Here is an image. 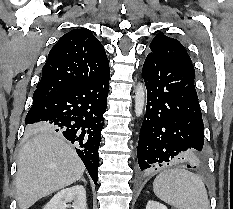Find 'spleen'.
Here are the masks:
<instances>
[{
    "label": "spleen",
    "mask_w": 233,
    "mask_h": 209,
    "mask_svg": "<svg viewBox=\"0 0 233 209\" xmlns=\"http://www.w3.org/2000/svg\"><path fill=\"white\" fill-rule=\"evenodd\" d=\"M155 195L177 209H210L202 179L184 169H169L153 182Z\"/></svg>",
    "instance_id": "spleen-1"
}]
</instances>
